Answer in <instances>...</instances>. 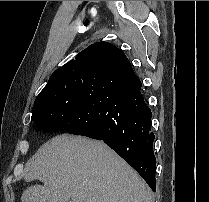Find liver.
Returning a JSON list of instances; mask_svg holds the SVG:
<instances>
[{"label":"liver","instance_id":"liver-1","mask_svg":"<svg viewBox=\"0 0 209 202\" xmlns=\"http://www.w3.org/2000/svg\"><path fill=\"white\" fill-rule=\"evenodd\" d=\"M22 202H151L141 177L100 141L61 134L44 143L26 165Z\"/></svg>","mask_w":209,"mask_h":202}]
</instances>
